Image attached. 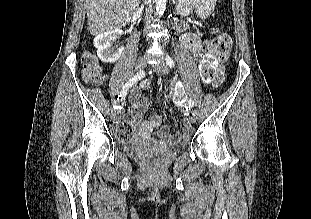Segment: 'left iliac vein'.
<instances>
[{
	"mask_svg": "<svg viewBox=\"0 0 311 219\" xmlns=\"http://www.w3.org/2000/svg\"><path fill=\"white\" fill-rule=\"evenodd\" d=\"M154 68L160 74H167L168 71H169V68H168L167 64L165 62H163V61L160 62L159 64L155 65ZM189 119H190V121L192 123H195L196 115H195L194 111L191 112V116L189 117Z\"/></svg>",
	"mask_w": 311,
	"mask_h": 219,
	"instance_id": "4c4485c4",
	"label": "left iliac vein"
}]
</instances>
